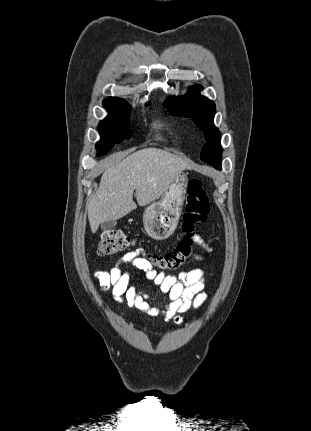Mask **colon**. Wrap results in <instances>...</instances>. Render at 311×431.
Instances as JSON below:
<instances>
[{
	"label": "colon",
	"instance_id": "obj_1",
	"mask_svg": "<svg viewBox=\"0 0 311 431\" xmlns=\"http://www.w3.org/2000/svg\"><path fill=\"white\" fill-rule=\"evenodd\" d=\"M208 196L200 179H191L187 184L185 211L182 229L184 235L177 246L162 254H150L151 262L162 271H176L186 264L192 255L194 234L206 221L209 214ZM133 245V241L121 230H108L101 234L98 253L101 256L116 254Z\"/></svg>",
	"mask_w": 311,
	"mask_h": 431
}]
</instances>
